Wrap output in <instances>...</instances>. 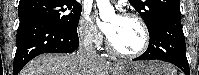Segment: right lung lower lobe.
<instances>
[{
	"label": "right lung lower lobe",
	"instance_id": "1",
	"mask_svg": "<svg viewBox=\"0 0 199 75\" xmlns=\"http://www.w3.org/2000/svg\"><path fill=\"white\" fill-rule=\"evenodd\" d=\"M79 46L77 30L68 32L39 20H28L19 24L17 50L13 64V75L34 57L43 53H71Z\"/></svg>",
	"mask_w": 199,
	"mask_h": 75
}]
</instances>
